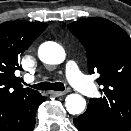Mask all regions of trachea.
<instances>
[{"label":"trachea","mask_w":131,"mask_h":131,"mask_svg":"<svg viewBox=\"0 0 131 131\" xmlns=\"http://www.w3.org/2000/svg\"><path fill=\"white\" fill-rule=\"evenodd\" d=\"M30 87L38 90H55V91H64L65 86L61 82H42L35 85H29Z\"/></svg>","instance_id":"1"}]
</instances>
